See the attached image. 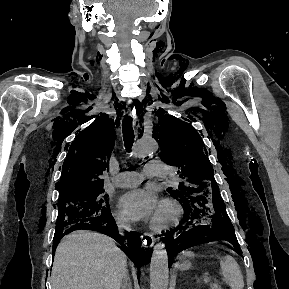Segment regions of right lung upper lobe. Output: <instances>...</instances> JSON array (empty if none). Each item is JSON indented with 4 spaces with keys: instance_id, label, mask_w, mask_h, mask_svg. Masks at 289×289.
Returning a JSON list of instances; mask_svg holds the SVG:
<instances>
[{
    "instance_id": "1",
    "label": "right lung upper lobe",
    "mask_w": 289,
    "mask_h": 289,
    "mask_svg": "<svg viewBox=\"0 0 289 289\" xmlns=\"http://www.w3.org/2000/svg\"><path fill=\"white\" fill-rule=\"evenodd\" d=\"M114 123L106 115L80 132L71 144L58 183L59 196L103 188L100 175L109 166L114 147Z\"/></svg>"
}]
</instances>
